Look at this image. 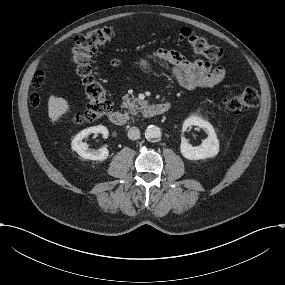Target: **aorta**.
<instances>
[{"instance_id": "1", "label": "aorta", "mask_w": 285, "mask_h": 285, "mask_svg": "<svg viewBox=\"0 0 285 285\" xmlns=\"http://www.w3.org/2000/svg\"><path fill=\"white\" fill-rule=\"evenodd\" d=\"M145 137L149 141L158 140L161 137V130L155 125H150L145 130Z\"/></svg>"}]
</instances>
